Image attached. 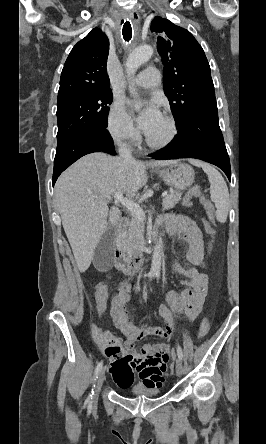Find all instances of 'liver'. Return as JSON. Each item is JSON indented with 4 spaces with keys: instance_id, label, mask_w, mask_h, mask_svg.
Masks as SVG:
<instances>
[{
    "instance_id": "liver-1",
    "label": "liver",
    "mask_w": 266,
    "mask_h": 444,
    "mask_svg": "<svg viewBox=\"0 0 266 444\" xmlns=\"http://www.w3.org/2000/svg\"><path fill=\"white\" fill-rule=\"evenodd\" d=\"M174 162L145 163L91 153L61 174L55 185V199L80 272L89 268L108 227L120 221L119 209L109 210L107 199L119 191L134 197L148 181L147 166L164 167Z\"/></svg>"
}]
</instances>
